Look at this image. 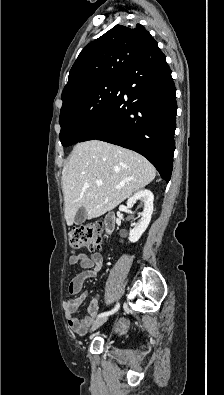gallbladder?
<instances>
[{
  "mask_svg": "<svg viewBox=\"0 0 224 395\" xmlns=\"http://www.w3.org/2000/svg\"><path fill=\"white\" fill-rule=\"evenodd\" d=\"M86 218H87L86 209H85L83 206H81V207L77 210V212H76V214H75L74 223H75L76 225H80V224H82L83 222H85Z\"/></svg>",
  "mask_w": 224,
  "mask_h": 395,
  "instance_id": "obj_1",
  "label": "gallbladder"
}]
</instances>
